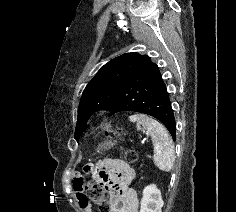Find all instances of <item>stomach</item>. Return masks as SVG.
<instances>
[{"mask_svg":"<svg viewBox=\"0 0 236 212\" xmlns=\"http://www.w3.org/2000/svg\"><path fill=\"white\" fill-rule=\"evenodd\" d=\"M113 145L112 141H107L104 143L105 147H111Z\"/></svg>","mask_w":236,"mask_h":212,"instance_id":"0dacf381","label":"stomach"}]
</instances>
